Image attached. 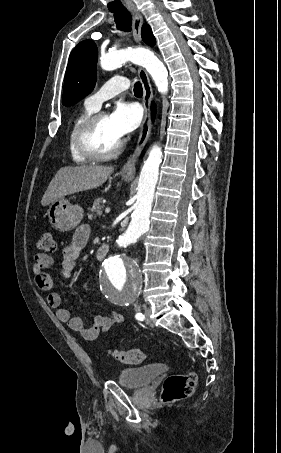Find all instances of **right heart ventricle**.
Returning <instances> with one entry per match:
<instances>
[{
    "label": "right heart ventricle",
    "mask_w": 281,
    "mask_h": 453,
    "mask_svg": "<svg viewBox=\"0 0 281 453\" xmlns=\"http://www.w3.org/2000/svg\"><path fill=\"white\" fill-rule=\"evenodd\" d=\"M97 112L96 109L92 108L89 104L75 117L72 121L69 133H68V144L72 159L77 163H83L88 161L79 151L77 146V136L81 126L86 120L93 116Z\"/></svg>",
    "instance_id": "1"
}]
</instances>
